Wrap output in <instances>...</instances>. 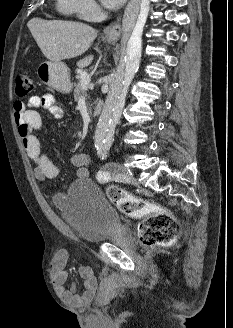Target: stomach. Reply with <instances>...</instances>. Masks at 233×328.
<instances>
[{"label": "stomach", "mask_w": 233, "mask_h": 328, "mask_svg": "<svg viewBox=\"0 0 233 328\" xmlns=\"http://www.w3.org/2000/svg\"><path fill=\"white\" fill-rule=\"evenodd\" d=\"M109 42L114 40L109 38ZM37 75L41 82L61 93L72 89L68 67L63 62L45 61L38 66Z\"/></svg>", "instance_id": "0dacf381"}]
</instances>
